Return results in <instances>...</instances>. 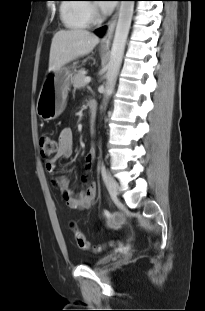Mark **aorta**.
Listing matches in <instances>:
<instances>
[{"mask_svg":"<svg viewBox=\"0 0 205 311\" xmlns=\"http://www.w3.org/2000/svg\"><path fill=\"white\" fill-rule=\"evenodd\" d=\"M133 9L134 1H121L117 26L111 47L110 60L107 65L104 103H106L109 96L112 94L117 75L120 70L127 37L131 26Z\"/></svg>","mask_w":205,"mask_h":311,"instance_id":"1","label":"aorta"}]
</instances>
